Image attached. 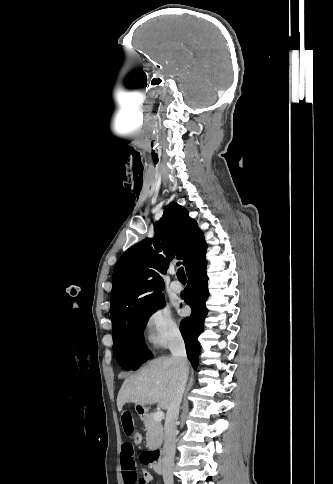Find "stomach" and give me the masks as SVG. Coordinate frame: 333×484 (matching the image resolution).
Listing matches in <instances>:
<instances>
[{"label": "stomach", "mask_w": 333, "mask_h": 484, "mask_svg": "<svg viewBox=\"0 0 333 484\" xmlns=\"http://www.w3.org/2000/svg\"><path fill=\"white\" fill-rule=\"evenodd\" d=\"M136 411L141 417L146 416V408L144 406L137 405Z\"/></svg>", "instance_id": "stomach-1"}]
</instances>
